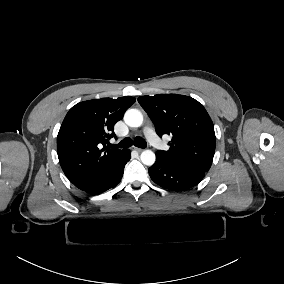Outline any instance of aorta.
I'll return each mask as SVG.
<instances>
[{"instance_id":"1","label":"aorta","mask_w":284,"mask_h":284,"mask_svg":"<svg viewBox=\"0 0 284 284\" xmlns=\"http://www.w3.org/2000/svg\"><path fill=\"white\" fill-rule=\"evenodd\" d=\"M125 123L130 127H140L143 123V115L138 109H129L124 115ZM140 159L143 164L151 166L155 163L156 156L155 153L151 150H144Z\"/></svg>"}]
</instances>
